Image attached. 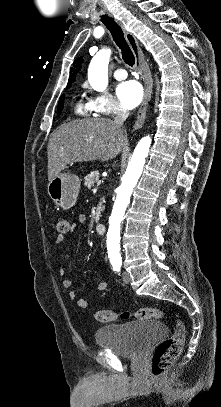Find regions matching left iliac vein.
I'll list each match as a JSON object with an SVG mask.
<instances>
[{
	"label": "left iliac vein",
	"instance_id": "left-iliac-vein-1",
	"mask_svg": "<svg viewBox=\"0 0 221 407\" xmlns=\"http://www.w3.org/2000/svg\"><path fill=\"white\" fill-rule=\"evenodd\" d=\"M122 279H123V282H124L125 284H129L130 281H131V277H130V275H129L128 272H124V273H123Z\"/></svg>",
	"mask_w": 221,
	"mask_h": 407
}]
</instances>
